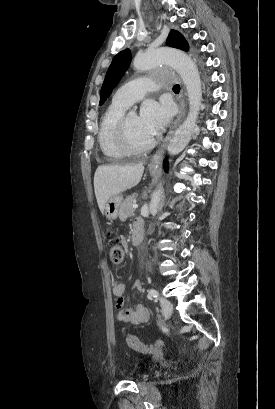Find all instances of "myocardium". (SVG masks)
Listing matches in <instances>:
<instances>
[{
  "instance_id": "1",
  "label": "myocardium",
  "mask_w": 275,
  "mask_h": 409,
  "mask_svg": "<svg viewBox=\"0 0 275 409\" xmlns=\"http://www.w3.org/2000/svg\"><path fill=\"white\" fill-rule=\"evenodd\" d=\"M128 117L129 115L123 116L118 125V138L120 146L127 154L142 155L148 153L156 145V139L153 138L145 146L139 147L134 145L128 128Z\"/></svg>"
}]
</instances>
